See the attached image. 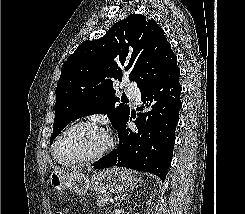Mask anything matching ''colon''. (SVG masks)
Returning <instances> with one entry per match:
<instances>
[{
  "label": "colon",
  "mask_w": 245,
  "mask_h": 214,
  "mask_svg": "<svg viewBox=\"0 0 245 214\" xmlns=\"http://www.w3.org/2000/svg\"><path fill=\"white\" fill-rule=\"evenodd\" d=\"M57 214H65V213H63V212H59V213H57Z\"/></svg>",
  "instance_id": "obj_1"
}]
</instances>
